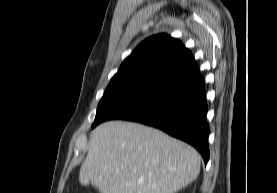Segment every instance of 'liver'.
Here are the masks:
<instances>
[{
  "instance_id": "6515ba94",
  "label": "liver",
  "mask_w": 277,
  "mask_h": 193,
  "mask_svg": "<svg viewBox=\"0 0 277 193\" xmlns=\"http://www.w3.org/2000/svg\"><path fill=\"white\" fill-rule=\"evenodd\" d=\"M200 161L193 147L160 130L109 121L92 132L79 181L100 193H175L196 179Z\"/></svg>"
}]
</instances>
